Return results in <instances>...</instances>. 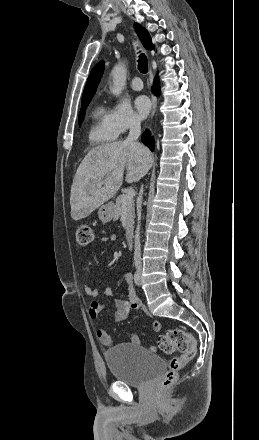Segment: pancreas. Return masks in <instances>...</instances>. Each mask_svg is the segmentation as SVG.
<instances>
[{
    "label": "pancreas",
    "instance_id": "cf45deb5",
    "mask_svg": "<svg viewBox=\"0 0 259 440\" xmlns=\"http://www.w3.org/2000/svg\"><path fill=\"white\" fill-rule=\"evenodd\" d=\"M125 195H120L116 199V203L114 205V218H119L123 215V211L126 214V233L129 234L133 228L134 217H135V209L134 202L131 201L127 204L123 203V198Z\"/></svg>",
    "mask_w": 259,
    "mask_h": 440
}]
</instances>
